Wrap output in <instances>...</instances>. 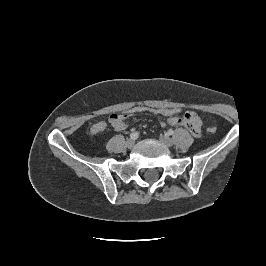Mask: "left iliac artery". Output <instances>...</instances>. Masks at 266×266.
<instances>
[{
    "label": "left iliac artery",
    "mask_w": 266,
    "mask_h": 266,
    "mask_svg": "<svg viewBox=\"0 0 266 266\" xmlns=\"http://www.w3.org/2000/svg\"><path fill=\"white\" fill-rule=\"evenodd\" d=\"M169 135H173L174 131L172 129H169L167 132Z\"/></svg>",
    "instance_id": "44dca946"
}]
</instances>
